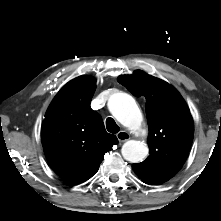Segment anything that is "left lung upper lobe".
<instances>
[{"label": "left lung upper lobe", "instance_id": "1", "mask_svg": "<svg viewBox=\"0 0 221 221\" xmlns=\"http://www.w3.org/2000/svg\"><path fill=\"white\" fill-rule=\"evenodd\" d=\"M118 82L134 96L146 98L150 155L133 170L147 184H161L185 162L194 134L190 111L179 92L167 82L141 70L122 75Z\"/></svg>", "mask_w": 221, "mask_h": 221}]
</instances>
